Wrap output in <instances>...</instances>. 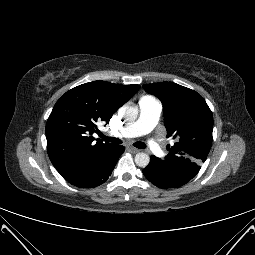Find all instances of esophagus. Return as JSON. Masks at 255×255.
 Wrapping results in <instances>:
<instances>
[{"label":"esophagus","mask_w":255,"mask_h":255,"mask_svg":"<svg viewBox=\"0 0 255 255\" xmlns=\"http://www.w3.org/2000/svg\"><path fill=\"white\" fill-rule=\"evenodd\" d=\"M128 150L131 152V153H138L140 150L137 149V148H134V147H128Z\"/></svg>","instance_id":"34e87169"}]
</instances>
